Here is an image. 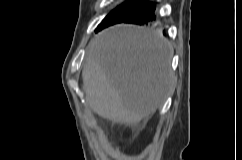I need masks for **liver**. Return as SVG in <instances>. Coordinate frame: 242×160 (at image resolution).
Wrapping results in <instances>:
<instances>
[{
    "label": "liver",
    "instance_id": "obj_1",
    "mask_svg": "<svg viewBox=\"0 0 242 160\" xmlns=\"http://www.w3.org/2000/svg\"><path fill=\"white\" fill-rule=\"evenodd\" d=\"M172 49L159 33L119 24L89 43L82 71L86 100L94 112L133 125L165 101L173 85Z\"/></svg>",
    "mask_w": 242,
    "mask_h": 160
}]
</instances>
